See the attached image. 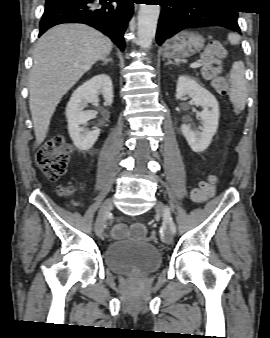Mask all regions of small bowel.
<instances>
[{"label": "small bowel", "mask_w": 270, "mask_h": 338, "mask_svg": "<svg viewBox=\"0 0 270 338\" xmlns=\"http://www.w3.org/2000/svg\"><path fill=\"white\" fill-rule=\"evenodd\" d=\"M122 233L120 226L117 225L114 232L113 236H119ZM132 237L137 240H144L145 239V230L144 227L141 224H135L133 226V231H132Z\"/></svg>", "instance_id": "small-bowel-1"}]
</instances>
